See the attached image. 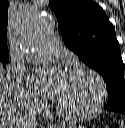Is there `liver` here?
<instances>
[{
  "label": "liver",
  "mask_w": 125,
  "mask_h": 128,
  "mask_svg": "<svg viewBox=\"0 0 125 128\" xmlns=\"http://www.w3.org/2000/svg\"><path fill=\"white\" fill-rule=\"evenodd\" d=\"M23 118L13 103V87L0 65V128H20Z\"/></svg>",
  "instance_id": "1"
}]
</instances>
